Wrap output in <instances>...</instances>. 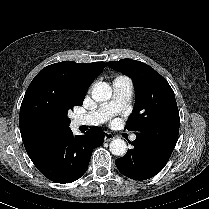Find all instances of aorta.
Segmentation results:
<instances>
[{
    "label": "aorta",
    "instance_id": "1",
    "mask_svg": "<svg viewBox=\"0 0 209 209\" xmlns=\"http://www.w3.org/2000/svg\"><path fill=\"white\" fill-rule=\"evenodd\" d=\"M112 96V89L106 83H98L92 89V98L96 102H105ZM110 152L115 156H124L127 152V144L122 139H114L110 143Z\"/></svg>",
    "mask_w": 209,
    "mask_h": 209
}]
</instances>
